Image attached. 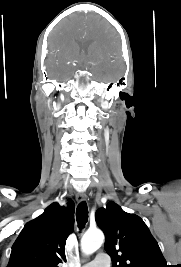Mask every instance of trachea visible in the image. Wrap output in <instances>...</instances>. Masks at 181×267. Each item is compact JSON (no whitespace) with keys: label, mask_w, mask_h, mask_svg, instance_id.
<instances>
[{"label":"trachea","mask_w":181,"mask_h":267,"mask_svg":"<svg viewBox=\"0 0 181 267\" xmlns=\"http://www.w3.org/2000/svg\"><path fill=\"white\" fill-rule=\"evenodd\" d=\"M78 226L82 229L88 220V207L85 201L81 202L76 209Z\"/></svg>","instance_id":"trachea-1"}]
</instances>
